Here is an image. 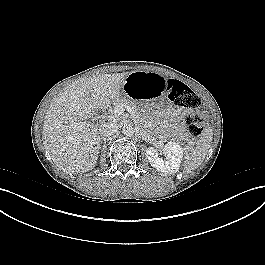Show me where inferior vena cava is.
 <instances>
[{
  "instance_id": "inferior-vena-cava-1",
  "label": "inferior vena cava",
  "mask_w": 265,
  "mask_h": 265,
  "mask_svg": "<svg viewBox=\"0 0 265 265\" xmlns=\"http://www.w3.org/2000/svg\"><path fill=\"white\" fill-rule=\"evenodd\" d=\"M118 131V126L115 122L109 121L102 124L99 128V134L102 137H109Z\"/></svg>"
}]
</instances>
